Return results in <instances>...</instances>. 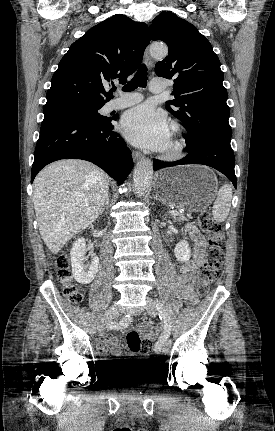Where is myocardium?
I'll use <instances>...</instances> for the list:
<instances>
[{
    "label": "myocardium",
    "instance_id": "f54148a6",
    "mask_svg": "<svg viewBox=\"0 0 275 431\" xmlns=\"http://www.w3.org/2000/svg\"><path fill=\"white\" fill-rule=\"evenodd\" d=\"M170 130L173 135L172 144L168 148L162 150L161 157L166 161H176L184 156L187 148V139L184 129L179 123L172 122Z\"/></svg>",
    "mask_w": 275,
    "mask_h": 431
}]
</instances>
